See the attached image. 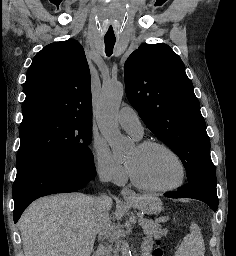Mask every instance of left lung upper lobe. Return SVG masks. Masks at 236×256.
Returning <instances> with one entry per match:
<instances>
[{"label":"left lung upper lobe","instance_id":"left-lung-upper-lobe-1","mask_svg":"<svg viewBox=\"0 0 236 256\" xmlns=\"http://www.w3.org/2000/svg\"><path fill=\"white\" fill-rule=\"evenodd\" d=\"M124 80L129 102L181 159L188 183L216 184L205 120L180 57L166 44H143L127 59Z\"/></svg>","mask_w":236,"mask_h":256}]
</instances>
